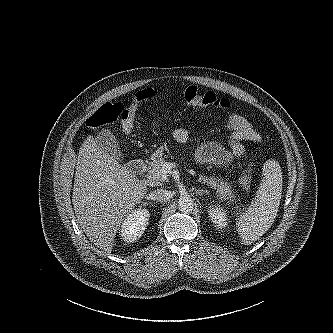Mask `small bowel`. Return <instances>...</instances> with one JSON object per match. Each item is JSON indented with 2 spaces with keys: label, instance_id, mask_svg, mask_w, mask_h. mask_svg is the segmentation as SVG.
I'll return each instance as SVG.
<instances>
[{
  "label": "small bowel",
  "instance_id": "small-bowel-1",
  "mask_svg": "<svg viewBox=\"0 0 333 333\" xmlns=\"http://www.w3.org/2000/svg\"><path fill=\"white\" fill-rule=\"evenodd\" d=\"M221 130L229 132L230 149L222 145L200 139L196 141V160L200 164H215L226 167L235 159L245 155L241 141L261 142L262 137L255 127L240 113L232 111L222 122ZM174 139L182 144L192 142L190 133L185 128H177L173 132Z\"/></svg>",
  "mask_w": 333,
  "mask_h": 333
}]
</instances>
